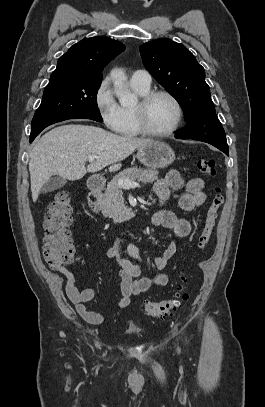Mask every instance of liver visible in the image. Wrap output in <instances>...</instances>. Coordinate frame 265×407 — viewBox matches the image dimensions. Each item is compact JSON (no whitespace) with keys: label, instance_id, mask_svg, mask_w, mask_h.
I'll list each match as a JSON object with an SVG mask.
<instances>
[{"label":"liver","instance_id":"obj_1","mask_svg":"<svg viewBox=\"0 0 265 407\" xmlns=\"http://www.w3.org/2000/svg\"><path fill=\"white\" fill-rule=\"evenodd\" d=\"M151 141L119 136L91 125L56 127L32 148L29 161L32 199L36 202L42 187L54 175L75 181L107 166L116 171L121 168L122 160ZM89 156L97 158L86 166Z\"/></svg>","mask_w":265,"mask_h":407}]
</instances>
